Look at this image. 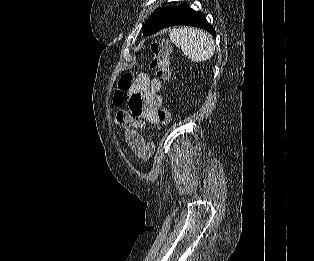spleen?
Segmentation results:
<instances>
[{
	"label": "spleen",
	"mask_w": 314,
	"mask_h": 261,
	"mask_svg": "<svg viewBox=\"0 0 314 261\" xmlns=\"http://www.w3.org/2000/svg\"><path fill=\"white\" fill-rule=\"evenodd\" d=\"M171 41L180 47L183 54L194 62L210 59L215 51L213 38L202 30L194 28H173L169 30Z\"/></svg>",
	"instance_id": "obj_1"
}]
</instances>
